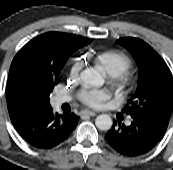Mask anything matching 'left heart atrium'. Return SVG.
Returning a JSON list of instances; mask_svg holds the SVG:
<instances>
[{
    "instance_id": "39dd6f15",
    "label": "left heart atrium",
    "mask_w": 173,
    "mask_h": 170,
    "mask_svg": "<svg viewBox=\"0 0 173 170\" xmlns=\"http://www.w3.org/2000/svg\"><path fill=\"white\" fill-rule=\"evenodd\" d=\"M109 95V91L103 89L87 90L83 92V100L87 105L96 107L101 105Z\"/></svg>"
}]
</instances>
